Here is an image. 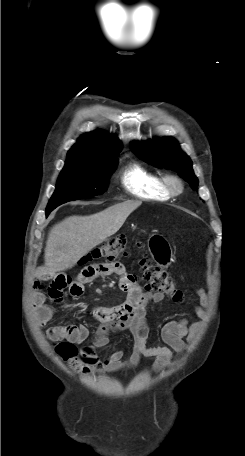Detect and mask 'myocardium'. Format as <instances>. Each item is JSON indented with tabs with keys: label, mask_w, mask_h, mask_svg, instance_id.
<instances>
[{
	"label": "myocardium",
	"mask_w": 245,
	"mask_h": 456,
	"mask_svg": "<svg viewBox=\"0 0 245 456\" xmlns=\"http://www.w3.org/2000/svg\"><path fill=\"white\" fill-rule=\"evenodd\" d=\"M163 186L170 195H178L183 190V182L176 175H166L162 178Z\"/></svg>",
	"instance_id": "f54148a6"
}]
</instances>
